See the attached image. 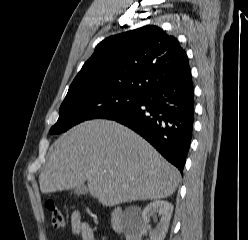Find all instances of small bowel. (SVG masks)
<instances>
[{"label": "small bowel", "mask_w": 248, "mask_h": 240, "mask_svg": "<svg viewBox=\"0 0 248 240\" xmlns=\"http://www.w3.org/2000/svg\"><path fill=\"white\" fill-rule=\"evenodd\" d=\"M71 226L73 234L79 236L81 240H96L93 228L87 222L82 221L77 212L72 214Z\"/></svg>", "instance_id": "c3829d8e"}]
</instances>
